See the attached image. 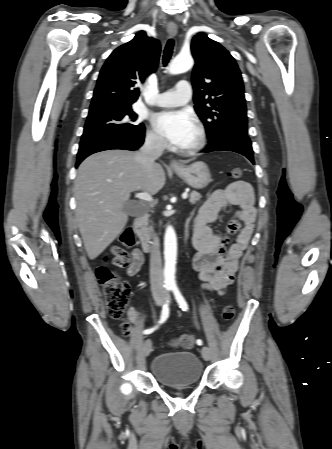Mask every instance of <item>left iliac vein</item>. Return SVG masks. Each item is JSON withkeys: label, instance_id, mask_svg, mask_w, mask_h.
Segmentation results:
<instances>
[{"label": "left iliac vein", "instance_id": "left-iliac-vein-1", "mask_svg": "<svg viewBox=\"0 0 332 449\" xmlns=\"http://www.w3.org/2000/svg\"><path fill=\"white\" fill-rule=\"evenodd\" d=\"M201 353H202L203 358H204L206 361L210 360V358H211V351H210V348H209V347L204 346V347L202 348V350H201Z\"/></svg>", "mask_w": 332, "mask_h": 449}]
</instances>
